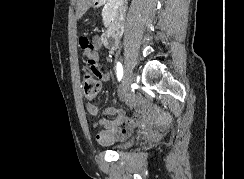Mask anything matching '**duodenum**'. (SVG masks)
<instances>
[{
    "instance_id": "obj_1",
    "label": "duodenum",
    "mask_w": 244,
    "mask_h": 179,
    "mask_svg": "<svg viewBox=\"0 0 244 179\" xmlns=\"http://www.w3.org/2000/svg\"><path fill=\"white\" fill-rule=\"evenodd\" d=\"M101 3H107V0L95 1L94 5L91 6V9L97 10ZM124 4V2L114 3V13L112 20L110 21L109 30L103 33L102 40L105 46L108 48L116 47L119 42L120 37L118 33L117 19L125 11Z\"/></svg>"
}]
</instances>
